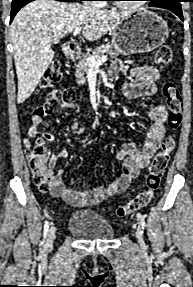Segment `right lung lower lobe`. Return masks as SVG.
Here are the masks:
<instances>
[{
	"mask_svg": "<svg viewBox=\"0 0 193 287\" xmlns=\"http://www.w3.org/2000/svg\"><path fill=\"white\" fill-rule=\"evenodd\" d=\"M33 0H13L12 1V6H11V19L10 22L13 20L14 16L16 13L26 4L31 2ZM58 1H65V2H74L75 0H58ZM83 1V0H81Z\"/></svg>",
	"mask_w": 193,
	"mask_h": 287,
	"instance_id": "obj_1",
	"label": "right lung lower lobe"
}]
</instances>
